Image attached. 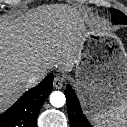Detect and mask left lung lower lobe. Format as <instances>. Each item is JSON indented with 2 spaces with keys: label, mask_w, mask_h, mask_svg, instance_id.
<instances>
[{
  "label": "left lung lower lobe",
  "mask_w": 127,
  "mask_h": 127,
  "mask_svg": "<svg viewBox=\"0 0 127 127\" xmlns=\"http://www.w3.org/2000/svg\"><path fill=\"white\" fill-rule=\"evenodd\" d=\"M65 96L71 127H92L87 118L84 116L76 93L70 85H67Z\"/></svg>",
  "instance_id": "obj_1"
}]
</instances>
